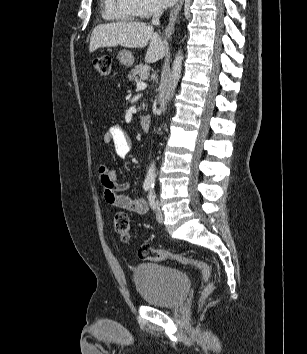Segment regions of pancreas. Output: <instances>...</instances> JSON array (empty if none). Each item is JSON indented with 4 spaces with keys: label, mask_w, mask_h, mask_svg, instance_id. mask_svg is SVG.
<instances>
[{
    "label": "pancreas",
    "mask_w": 307,
    "mask_h": 354,
    "mask_svg": "<svg viewBox=\"0 0 307 354\" xmlns=\"http://www.w3.org/2000/svg\"><path fill=\"white\" fill-rule=\"evenodd\" d=\"M149 75V67L147 65H136L128 75L130 81L138 82L139 79H146Z\"/></svg>",
    "instance_id": "pancreas-1"
}]
</instances>
